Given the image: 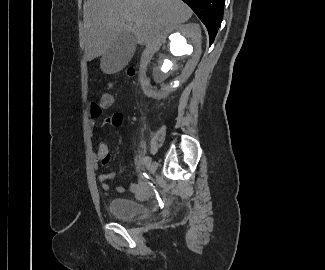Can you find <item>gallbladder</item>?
I'll list each match as a JSON object with an SVG mask.
<instances>
[{"label": "gallbladder", "instance_id": "gallbladder-1", "mask_svg": "<svg viewBox=\"0 0 325 270\" xmlns=\"http://www.w3.org/2000/svg\"><path fill=\"white\" fill-rule=\"evenodd\" d=\"M136 46L137 42L132 33H121L103 55L101 69L109 74L120 71L132 58Z\"/></svg>", "mask_w": 325, "mask_h": 270}]
</instances>
